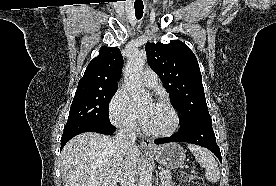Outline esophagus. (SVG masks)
<instances>
[{
  "label": "esophagus",
  "mask_w": 276,
  "mask_h": 186,
  "mask_svg": "<svg viewBox=\"0 0 276 186\" xmlns=\"http://www.w3.org/2000/svg\"><path fill=\"white\" fill-rule=\"evenodd\" d=\"M140 144H141V147H143L145 149H153L154 148V145H153V142L151 141V139L146 138V137H142L140 139Z\"/></svg>",
  "instance_id": "1"
}]
</instances>
